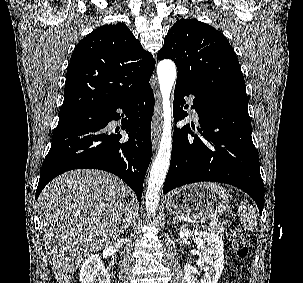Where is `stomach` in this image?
<instances>
[{
	"instance_id": "0dacf381",
	"label": "stomach",
	"mask_w": 303,
	"mask_h": 283,
	"mask_svg": "<svg viewBox=\"0 0 303 283\" xmlns=\"http://www.w3.org/2000/svg\"><path fill=\"white\" fill-rule=\"evenodd\" d=\"M229 206L226 190L216 183L206 182L174 190L167 199L170 213L193 219H211L224 214Z\"/></svg>"
}]
</instances>
